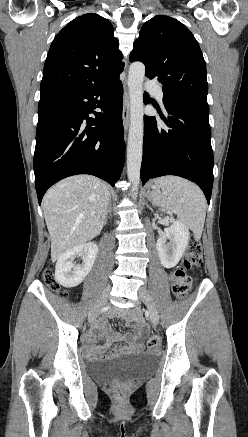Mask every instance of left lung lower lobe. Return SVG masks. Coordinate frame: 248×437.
Wrapping results in <instances>:
<instances>
[{
	"label": "left lung lower lobe",
	"instance_id": "left-lung-lower-lobe-1",
	"mask_svg": "<svg viewBox=\"0 0 248 437\" xmlns=\"http://www.w3.org/2000/svg\"><path fill=\"white\" fill-rule=\"evenodd\" d=\"M148 102V94H144ZM168 116L161 114L168 129L155 117H144L141 180L176 175L195 182L210 203L214 158L211 147L209 106L199 103L166 104Z\"/></svg>",
	"mask_w": 248,
	"mask_h": 437
}]
</instances>
